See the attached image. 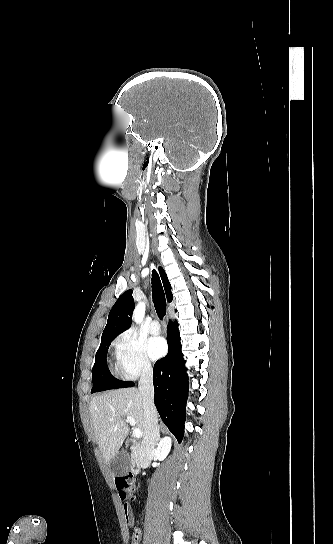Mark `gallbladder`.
I'll return each instance as SVG.
<instances>
[{"mask_svg": "<svg viewBox=\"0 0 333 544\" xmlns=\"http://www.w3.org/2000/svg\"><path fill=\"white\" fill-rule=\"evenodd\" d=\"M110 467L115 476L126 475L131 467V459L127 451L122 450L110 461Z\"/></svg>", "mask_w": 333, "mask_h": 544, "instance_id": "bac80fb5", "label": "gallbladder"}]
</instances>
